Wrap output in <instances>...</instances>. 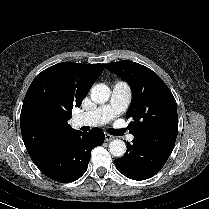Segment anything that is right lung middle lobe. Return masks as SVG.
<instances>
[{
    "label": "right lung middle lobe",
    "mask_w": 209,
    "mask_h": 209,
    "mask_svg": "<svg viewBox=\"0 0 209 209\" xmlns=\"http://www.w3.org/2000/svg\"><path fill=\"white\" fill-rule=\"evenodd\" d=\"M43 107H44V109L48 110V107H49V106H48L47 104H44Z\"/></svg>",
    "instance_id": "obj_1"
}]
</instances>
